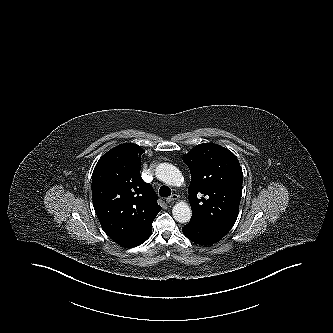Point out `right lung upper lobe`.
Instances as JSON below:
<instances>
[{
	"label": "right lung upper lobe",
	"instance_id": "right-lung-upper-lobe-1",
	"mask_svg": "<svg viewBox=\"0 0 333 333\" xmlns=\"http://www.w3.org/2000/svg\"><path fill=\"white\" fill-rule=\"evenodd\" d=\"M136 144L125 143L105 153L92 175V199L104 232L125 248L144 243L160 212L158 196L140 176L141 155Z\"/></svg>",
	"mask_w": 333,
	"mask_h": 333
}]
</instances>
